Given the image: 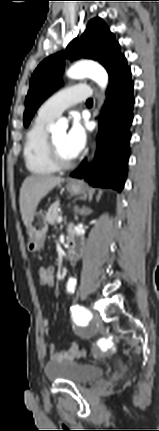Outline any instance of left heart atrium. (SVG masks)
<instances>
[{
    "label": "left heart atrium",
    "instance_id": "left-heart-atrium-1",
    "mask_svg": "<svg viewBox=\"0 0 159 431\" xmlns=\"http://www.w3.org/2000/svg\"><path fill=\"white\" fill-rule=\"evenodd\" d=\"M86 132L79 120L75 119L65 136V146L68 152L76 157L84 148Z\"/></svg>",
    "mask_w": 159,
    "mask_h": 431
}]
</instances>
